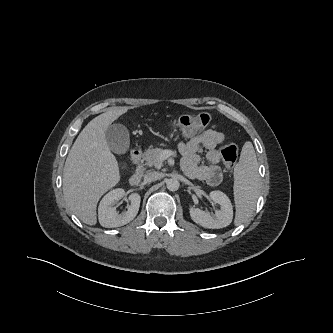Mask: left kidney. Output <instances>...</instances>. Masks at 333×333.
I'll use <instances>...</instances> for the list:
<instances>
[{"label":"left kidney","mask_w":333,"mask_h":333,"mask_svg":"<svg viewBox=\"0 0 333 333\" xmlns=\"http://www.w3.org/2000/svg\"><path fill=\"white\" fill-rule=\"evenodd\" d=\"M210 198L220 205V209L215 211V216L198 208L190 207L192 220L202 227L219 229L228 226L233 219V208L230 199L221 191H212Z\"/></svg>","instance_id":"5707ae66"}]
</instances>
